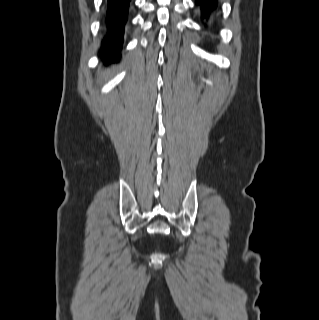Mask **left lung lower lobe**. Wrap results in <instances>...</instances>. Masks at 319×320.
I'll use <instances>...</instances> for the list:
<instances>
[{"label": "left lung lower lobe", "instance_id": "0a47b994", "mask_svg": "<svg viewBox=\"0 0 319 320\" xmlns=\"http://www.w3.org/2000/svg\"><path fill=\"white\" fill-rule=\"evenodd\" d=\"M196 4L201 5L202 17H208V14L217 7L218 0H196Z\"/></svg>", "mask_w": 319, "mask_h": 320}]
</instances>
